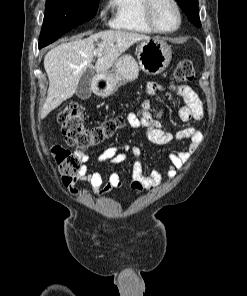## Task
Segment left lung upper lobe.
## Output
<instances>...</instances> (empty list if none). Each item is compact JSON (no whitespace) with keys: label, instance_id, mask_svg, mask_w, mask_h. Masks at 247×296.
<instances>
[{"label":"left lung upper lobe","instance_id":"5c2ea615","mask_svg":"<svg viewBox=\"0 0 247 296\" xmlns=\"http://www.w3.org/2000/svg\"><path fill=\"white\" fill-rule=\"evenodd\" d=\"M189 21L195 26L200 27V19L198 14V0H176Z\"/></svg>","mask_w":247,"mask_h":296}]
</instances>
